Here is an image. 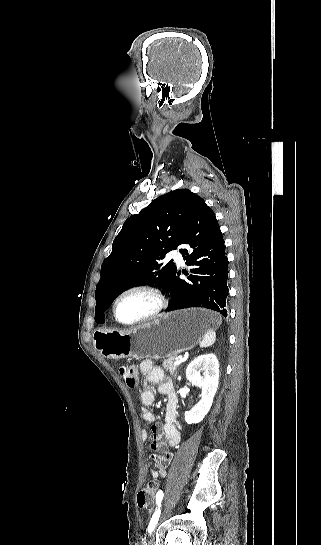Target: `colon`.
I'll list each match as a JSON object with an SVG mask.
<instances>
[{
  "label": "colon",
  "mask_w": 321,
  "mask_h": 545,
  "mask_svg": "<svg viewBox=\"0 0 321 545\" xmlns=\"http://www.w3.org/2000/svg\"><path fill=\"white\" fill-rule=\"evenodd\" d=\"M120 373L123 375L125 382L128 387L134 388L137 385V371L136 367L131 364H123L120 367ZM158 484L155 482H150L147 485H145L137 495V504L140 508L146 509V510H152L156 497L158 494Z\"/></svg>",
  "instance_id": "1"
}]
</instances>
